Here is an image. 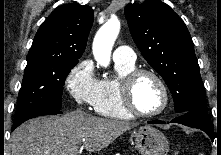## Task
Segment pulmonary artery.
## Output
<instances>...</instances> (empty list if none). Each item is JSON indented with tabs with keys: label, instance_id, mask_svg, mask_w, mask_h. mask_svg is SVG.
<instances>
[{
	"label": "pulmonary artery",
	"instance_id": "e3ab8cb5",
	"mask_svg": "<svg viewBox=\"0 0 221 155\" xmlns=\"http://www.w3.org/2000/svg\"><path fill=\"white\" fill-rule=\"evenodd\" d=\"M113 59L114 61L135 63L136 55L129 46L122 45L115 49Z\"/></svg>",
	"mask_w": 221,
	"mask_h": 155
}]
</instances>
